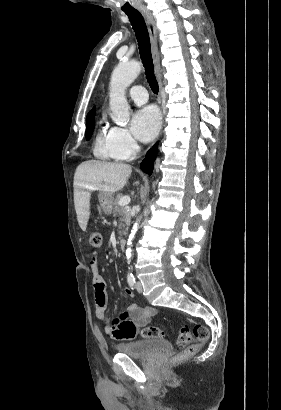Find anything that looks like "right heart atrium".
<instances>
[{"instance_id": "obj_1", "label": "right heart atrium", "mask_w": 281, "mask_h": 410, "mask_svg": "<svg viewBox=\"0 0 281 410\" xmlns=\"http://www.w3.org/2000/svg\"><path fill=\"white\" fill-rule=\"evenodd\" d=\"M111 134L116 148L125 159L132 158L139 152L140 146L129 130L112 127Z\"/></svg>"}]
</instances>
